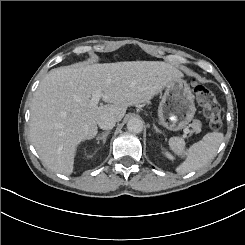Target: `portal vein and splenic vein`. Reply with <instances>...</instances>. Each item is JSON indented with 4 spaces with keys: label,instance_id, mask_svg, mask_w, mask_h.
<instances>
[{
    "label": "portal vein and splenic vein",
    "instance_id": "obj_1",
    "mask_svg": "<svg viewBox=\"0 0 245 245\" xmlns=\"http://www.w3.org/2000/svg\"><path fill=\"white\" fill-rule=\"evenodd\" d=\"M104 96L105 95H104L102 89L99 88V89L95 90L91 96L90 101H89L90 107L95 108L99 104L100 98L104 97ZM183 132H184V134H189V129L187 127H185L183 129Z\"/></svg>",
    "mask_w": 245,
    "mask_h": 245
}]
</instances>
